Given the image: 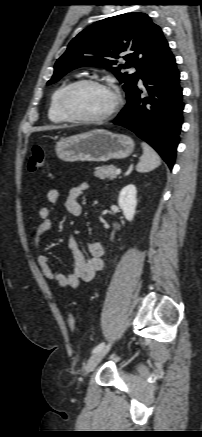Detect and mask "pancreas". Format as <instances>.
<instances>
[{"label":"pancreas","instance_id":"cf45deb5","mask_svg":"<svg viewBox=\"0 0 202 437\" xmlns=\"http://www.w3.org/2000/svg\"><path fill=\"white\" fill-rule=\"evenodd\" d=\"M115 170L116 167L114 165L100 166L95 168L94 175L100 179L108 178L113 180L116 178Z\"/></svg>","mask_w":202,"mask_h":437}]
</instances>
